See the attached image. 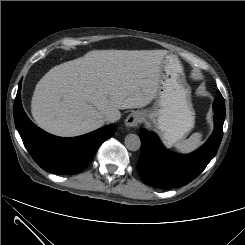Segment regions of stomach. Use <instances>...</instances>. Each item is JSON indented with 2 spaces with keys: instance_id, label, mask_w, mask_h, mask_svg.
Returning <instances> with one entry per match:
<instances>
[{
  "instance_id": "1",
  "label": "stomach",
  "mask_w": 245,
  "mask_h": 245,
  "mask_svg": "<svg viewBox=\"0 0 245 245\" xmlns=\"http://www.w3.org/2000/svg\"><path fill=\"white\" fill-rule=\"evenodd\" d=\"M145 118L160 132L168 145L182 141L193 129L195 112L190 88L184 81L183 66L172 54L162 61L156 103Z\"/></svg>"
}]
</instances>
